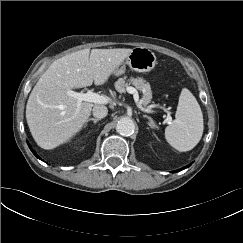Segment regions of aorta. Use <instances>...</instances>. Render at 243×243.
Wrapping results in <instances>:
<instances>
[{
	"label": "aorta",
	"instance_id": "1",
	"mask_svg": "<svg viewBox=\"0 0 243 243\" xmlns=\"http://www.w3.org/2000/svg\"><path fill=\"white\" fill-rule=\"evenodd\" d=\"M135 124L131 118L123 117L121 118L117 125H116V131L123 135V136H129L134 132Z\"/></svg>",
	"mask_w": 243,
	"mask_h": 243
}]
</instances>
